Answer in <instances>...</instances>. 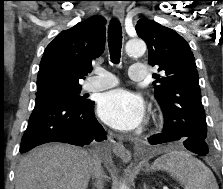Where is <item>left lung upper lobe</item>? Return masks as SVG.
I'll return each mask as SVG.
<instances>
[{
    "mask_svg": "<svg viewBox=\"0 0 223 189\" xmlns=\"http://www.w3.org/2000/svg\"><path fill=\"white\" fill-rule=\"evenodd\" d=\"M136 32L148 47V63L158 66L155 97L165 117L163 133L181 140L207 141V124L201 103L194 55L186 40L174 30L141 18Z\"/></svg>",
    "mask_w": 223,
    "mask_h": 189,
    "instance_id": "1",
    "label": "left lung upper lobe"
}]
</instances>
